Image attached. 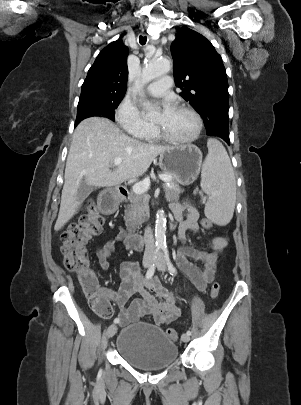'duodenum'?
I'll list each match as a JSON object with an SVG mask.
<instances>
[{"label":"duodenum","mask_w":301,"mask_h":405,"mask_svg":"<svg viewBox=\"0 0 301 405\" xmlns=\"http://www.w3.org/2000/svg\"><path fill=\"white\" fill-rule=\"evenodd\" d=\"M128 191L125 187H120L118 190H104L103 194H98L97 207L99 213H106L108 217L109 213H116L117 207L122 206L124 199L127 197ZM176 227L174 222L170 223V230H174ZM126 245L135 250L140 251L143 249L145 239L142 235L136 233H130L125 237Z\"/></svg>","instance_id":"obj_1"}]
</instances>
